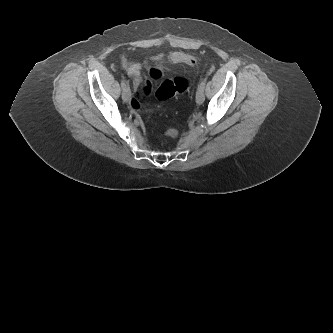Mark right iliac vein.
Returning a JSON list of instances; mask_svg holds the SVG:
<instances>
[{"mask_svg": "<svg viewBox=\"0 0 333 333\" xmlns=\"http://www.w3.org/2000/svg\"><path fill=\"white\" fill-rule=\"evenodd\" d=\"M130 98L129 89H125L122 93V99L124 102H128Z\"/></svg>", "mask_w": 333, "mask_h": 333, "instance_id": "obj_1", "label": "right iliac vein"}]
</instances>
